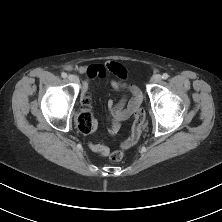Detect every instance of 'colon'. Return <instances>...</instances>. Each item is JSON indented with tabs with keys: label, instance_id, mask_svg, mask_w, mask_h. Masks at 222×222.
<instances>
[{
	"label": "colon",
	"instance_id": "colon-1",
	"mask_svg": "<svg viewBox=\"0 0 222 222\" xmlns=\"http://www.w3.org/2000/svg\"><path fill=\"white\" fill-rule=\"evenodd\" d=\"M116 66H120L117 63H112L110 69H114ZM83 108L77 117V127L81 133L87 134L93 123V115L90 109V97L89 95H84L82 100ZM145 121V111L143 109H138L135 112V120L132 127L131 134L129 138L122 143V149H128L134 146L140 139ZM124 153L122 150L115 151L111 154L110 160L113 162H119L123 159Z\"/></svg>",
	"mask_w": 222,
	"mask_h": 222
}]
</instances>
